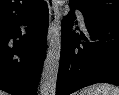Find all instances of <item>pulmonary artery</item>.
<instances>
[{"mask_svg":"<svg viewBox=\"0 0 119 95\" xmlns=\"http://www.w3.org/2000/svg\"><path fill=\"white\" fill-rule=\"evenodd\" d=\"M78 19H79L81 25L85 26L84 17H83V15L80 12H78Z\"/></svg>","mask_w":119,"mask_h":95,"instance_id":"1","label":"pulmonary artery"}]
</instances>
